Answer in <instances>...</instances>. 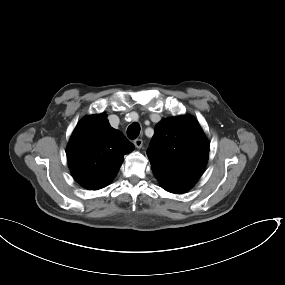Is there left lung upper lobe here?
<instances>
[{"label": "left lung upper lobe", "instance_id": "1", "mask_svg": "<svg viewBox=\"0 0 285 285\" xmlns=\"http://www.w3.org/2000/svg\"><path fill=\"white\" fill-rule=\"evenodd\" d=\"M147 155L154 174L193 185L205 169L209 142L193 117L167 118L156 125Z\"/></svg>", "mask_w": 285, "mask_h": 285}]
</instances>
